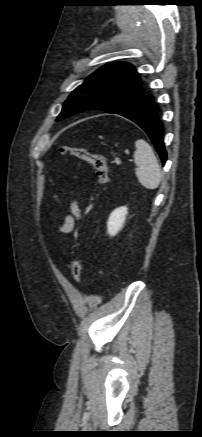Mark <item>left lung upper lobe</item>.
Here are the masks:
<instances>
[{
	"label": "left lung upper lobe",
	"mask_w": 202,
	"mask_h": 437,
	"mask_svg": "<svg viewBox=\"0 0 202 437\" xmlns=\"http://www.w3.org/2000/svg\"><path fill=\"white\" fill-rule=\"evenodd\" d=\"M142 94L140 77L130 64L109 63L90 75L69 95L56 120L91 108L109 111Z\"/></svg>",
	"instance_id": "left-lung-upper-lobe-1"
}]
</instances>
